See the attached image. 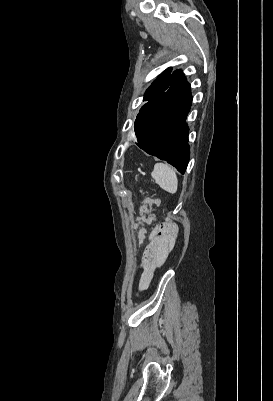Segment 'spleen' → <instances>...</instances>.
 Returning a JSON list of instances; mask_svg holds the SVG:
<instances>
[{"label":"spleen","instance_id":"1","mask_svg":"<svg viewBox=\"0 0 273 401\" xmlns=\"http://www.w3.org/2000/svg\"><path fill=\"white\" fill-rule=\"evenodd\" d=\"M155 182L160 184L161 188L167 190V192H176L178 186V178L176 172L169 164L164 162H157L154 164V170L151 172Z\"/></svg>","mask_w":273,"mask_h":401}]
</instances>
